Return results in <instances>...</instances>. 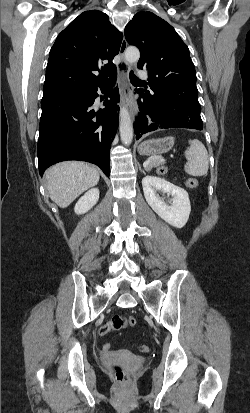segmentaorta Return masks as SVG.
I'll list each match as a JSON object with an SVG mask.
<instances>
[{"instance_id":"obj_1","label":"aorta","mask_w":250,"mask_h":413,"mask_svg":"<svg viewBox=\"0 0 250 413\" xmlns=\"http://www.w3.org/2000/svg\"><path fill=\"white\" fill-rule=\"evenodd\" d=\"M140 52L135 47H128L125 51V60L127 63L132 64L139 60ZM119 130L121 141L125 145H129L133 139V125L130 114L125 107L120 109L119 116Z\"/></svg>"}]
</instances>
